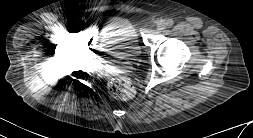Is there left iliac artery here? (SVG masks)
I'll return each mask as SVG.
<instances>
[{"instance_id": "44dca946", "label": "left iliac artery", "mask_w": 253, "mask_h": 138, "mask_svg": "<svg viewBox=\"0 0 253 138\" xmlns=\"http://www.w3.org/2000/svg\"><path fill=\"white\" fill-rule=\"evenodd\" d=\"M165 24H166V26H167V27H169V28H170V27H172V26H173L174 21H173L172 19H168V20L166 21V23H165Z\"/></svg>"}]
</instances>
